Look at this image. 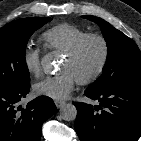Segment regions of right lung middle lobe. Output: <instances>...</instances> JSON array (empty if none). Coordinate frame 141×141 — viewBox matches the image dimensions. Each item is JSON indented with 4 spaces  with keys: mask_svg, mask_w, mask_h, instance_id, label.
<instances>
[{
    "mask_svg": "<svg viewBox=\"0 0 141 141\" xmlns=\"http://www.w3.org/2000/svg\"><path fill=\"white\" fill-rule=\"evenodd\" d=\"M51 18L28 17L0 29V90H13L30 83L25 48L30 36Z\"/></svg>",
    "mask_w": 141,
    "mask_h": 141,
    "instance_id": "obj_1",
    "label": "right lung middle lobe"
}]
</instances>
